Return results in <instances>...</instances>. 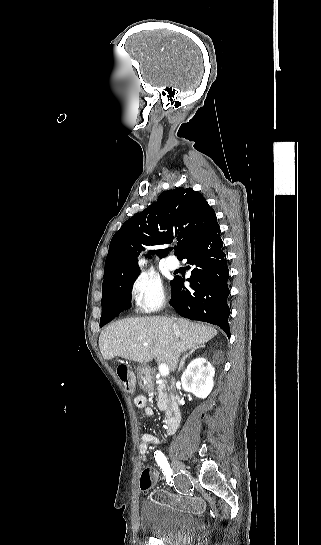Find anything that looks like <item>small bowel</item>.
<instances>
[{
    "label": "small bowel",
    "instance_id": "c3829d8e",
    "mask_svg": "<svg viewBox=\"0 0 321 545\" xmlns=\"http://www.w3.org/2000/svg\"><path fill=\"white\" fill-rule=\"evenodd\" d=\"M134 403H135L136 407L144 408L145 413L147 415H152L153 414V410H152V408L147 406V400H146V398L144 396H142V395L136 396L135 399H134ZM158 443H159L158 437L151 434V433H144L141 436V442H140L138 448H139V453H140V456H141V460L143 462L147 461L146 454L148 452L149 447L151 445H155V444H158ZM151 471H152L154 480H156L157 476H158L157 472L154 471V470H151Z\"/></svg>",
    "mask_w": 321,
    "mask_h": 545
}]
</instances>
